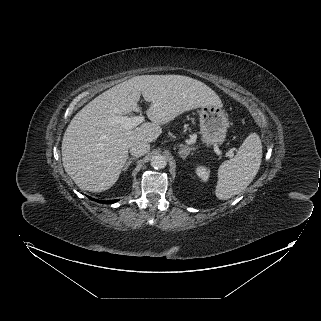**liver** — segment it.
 <instances>
[{
    "label": "liver",
    "mask_w": 321,
    "mask_h": 321,
    "mask_svg": "<svg viewBox=\"0 0 321 321\" xmlns=\"http://www.w3.org/2000/svg\"><path fill=\"white\" fill-rule=\"evenodd\" d=\"M150 102V122L125 130L111 123L113 116L138 111L140 96ZM220 105L218 95L206 84L182 75H142L103 92L71 120L62 140V162L77 186L91 192L111 188L128 159L130 145L154 142L161 125L185 111Z\"/></svg>",
    "instance_id": "1"
}]
</instances>
